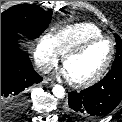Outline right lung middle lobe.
Listing matches in <instances>:
<instances>
[{"instance_id": "right-lung-middle-lobe-1", "label": "right lung middle lobe", "mask_w": 122, "mask_h": 122, "mask_svg": "<svg viewBox=\"0 0 122 122\" xmlns=\"http://www.w3.org/2000/svg\"><path fill=\"white\" fill-rule=\"evenodd\" d=\"M51 11L29 4L15 5L1 13V32L20 33L33 40L48 27Z\"/></svg>"}]
</instances>
